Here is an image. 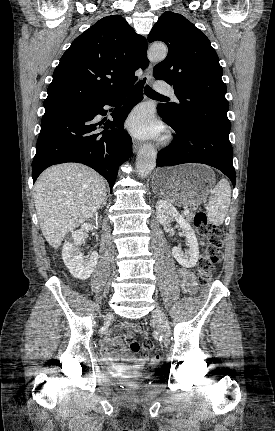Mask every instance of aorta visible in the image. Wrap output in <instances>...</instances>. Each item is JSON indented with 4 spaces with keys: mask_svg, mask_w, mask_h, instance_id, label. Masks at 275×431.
Here are the masks:
<instances>
[{
    "mask_svg": "<svg viewBox=\"0 0 275 431\" xmlns=\"http://www.w3.org/2000/svg\"><path fill=\"white\" fill-rule=\"evenodd\" d=\"M167 47L164 44L150 46L147 56L152 62H159L167 56ZM157 152L152 144H145L137 154L136 171L139 177L146 178L156 165Z\"/></svg>",
    "mask_w": 275,
    "mask_h": 431,
    "instance_id": "762f6f07",
    "label": "aorta"
}]
</instances>
